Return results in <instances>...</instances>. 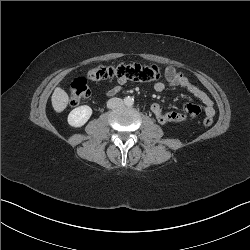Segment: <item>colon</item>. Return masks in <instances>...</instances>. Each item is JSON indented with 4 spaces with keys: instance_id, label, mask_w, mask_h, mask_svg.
<instances>
[{
    "instance_id": "1",
    "label": "colon",
    "mask_w": 250,
    "mask_h": 250,
    "mask_svg": "<svg viewBox=\"0 0 250 250\" xmlns=\"http://www.w3.org/2000/svg\"><path fill=\"white\" fill-rule=\"evenodd\" d=\"M160 70L155 65L140 64H118V65H97L92 67L87 78L93 81H99L107 78H117L136 82H151L158 79ZM90 95L86 78H77L73 80L69 87V100L72 105H78L86 100ZM203 124L209 127L213 124V117L206 116Z\"/></svg>"
}]
</instances>
